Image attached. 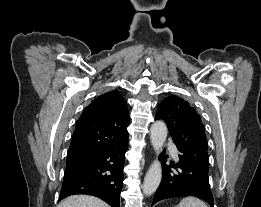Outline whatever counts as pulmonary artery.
Returning a JSON list of instances; mask_svg holds the SVG:
<instances>
[{"instance_id":"1","label":"pulmonary artery","mask_w":261,"mask_h":207,"mask_svg":"<svg viewBox=\"0 0 261 207\" xmlns=\"http://www.w3.org/2000/svg\"><path fill=\"white\" fill-rule=\"evenodd\" d=\"M167 147H168L170 150L173 151V155H174V157L176 158V157H177V154H176V152H175V150H174L173 145H172V144H167Z\"/></svg>"}]
</instances>
